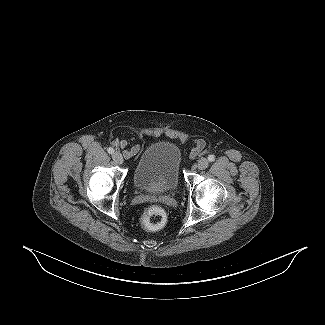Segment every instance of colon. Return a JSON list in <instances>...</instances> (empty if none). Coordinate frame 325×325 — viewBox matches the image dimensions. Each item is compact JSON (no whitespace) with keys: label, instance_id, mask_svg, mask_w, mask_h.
I'll list each match as a JSON object with an SVG mask.
<instances>
[{"label":"colon","instance_id":"1","mask_svg":"<svg viewBox=\"0 0 325 325\" xmlns=\"http://www.w3.org/2000/svg\"><path fill=\"white\" fill-rule=\"evenodd\" d=\"M198 149L200 146L197 147ZM144 225L151 230L161 228L166 222V213L159 206H150L143 216Z\"/></svg>","mask_w":325,"mask_h":325}]
</instances>
